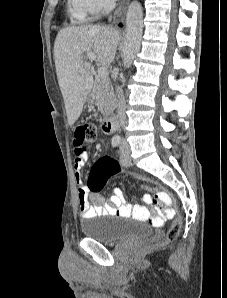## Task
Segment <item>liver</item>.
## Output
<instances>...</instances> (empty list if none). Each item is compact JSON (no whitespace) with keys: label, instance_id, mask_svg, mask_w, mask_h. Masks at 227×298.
Listing matches in <instances>:
<instances>
[{"label":"liver","instance_id":"1","mask_svg":"<svg viewBox=\"0 0 227 298\" xmlns=\"http://www.w3.org/2000/svg\"><path fill=\"white\" fill-rule=\"evenodd\" d=\"M119 41L118 30L99 25L67 27L58 32L54 59L70 126L80 117L93 87L92 66L84 53H94L99 65L109 66L115 58Z\"/></svg>","mask_w":227,"mask_h":298}]
</instances>
